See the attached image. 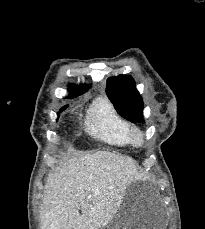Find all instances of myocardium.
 <instances>
[{
  "label": "myocardium",
  "mask_w": 205,
  "mask_h": 229,
  "mask_svg": "<svg viewBox=\"0 0 205 229\" xmlns=\"http://www.w3.org/2000/svg\"><path fill=\"white\" fill-rule=\"evenodd\" d=\"M130 142L136 147L143 146L145 144L144 133L139 128H132L130 131Z\"/></svg>",
  "instance_id": "myocardium-1"
}]
</instances>
